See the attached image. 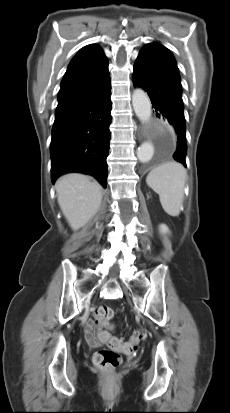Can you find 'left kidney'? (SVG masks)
<instances>
[{"instance_id": "5707ae66", "label": "left kidney", "mask_w": 230, "mask_h": 413, "mask_svg": "<svg viewBox=\"0 0 230 413\" xmlns=\"http://www.w3.org/2000/svg\"><path fill=\"white\" fill-rule=\"evenodd\" d=\"M161 231L163 232V233H167L168 232V228H167V226L166 225H161Z\"/></svg>"}]
</instances>
